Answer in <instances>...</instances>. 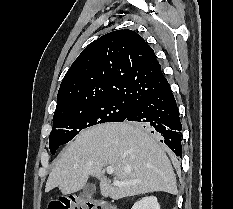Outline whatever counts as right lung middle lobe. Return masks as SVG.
Here are the masks:
<instances>
[{"mask_svg": "<svg viewBox=\"0 0 233 209\" xmlns=\"http://www.w3.org/2000/svg\"><path fill=\"white\" fill-rule=\"evenodd\" d=\"M133 105V102L124 99L107 98L53 116V129L49 136L50 152L55 155L60 145L68 143L82 129L105 122L124 121ZM135 124L149 130L143 124Z\"/></svg>", "mask_w": 233, "mask_h": 209, "instance_id": "obj_1", "label": "right lung middle lobe"}]
</instances>
